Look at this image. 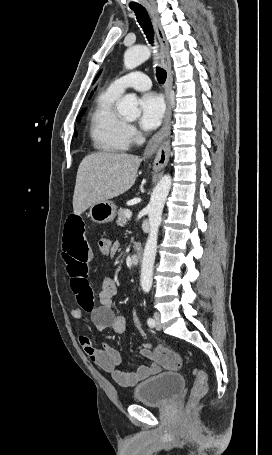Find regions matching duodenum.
<instances>
[{"label":"duodenum","instance_id":"duodenum-1","mask_svg":"<svg viewBox=\"0 0 272 455\" xmlns=\"http://www.w3.org/2000/svg\"><path fill=\"white\" fill-rule=\"evenodd\" d=\"M133 250H134V256H135L137 262H140L143 257V248H142L141 244L135 243L133 246Z\"/></svg>","mask_w":272,"mask_h":455}]
</instances>
